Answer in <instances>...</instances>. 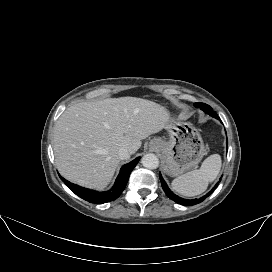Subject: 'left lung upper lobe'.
<instances>
[{
	"mask_svg": "<svg viewBox=\"0 0 272 272\" xmlns=\"http://www.w3.org/2000/svg\"><path fill=\"white\" fill-rule=\"evenodd\" d=\"M195 107L201 108L204 112L207 114H210L211 116L217 115L215 111L212 110V108L204 103H194Z\"/></svg>",
	"mask_w": 272,
	"mask_h": 272,
	"instance_id": "5c2ea615",
	"label": "left lung upper lobe"
}]
</instances>
